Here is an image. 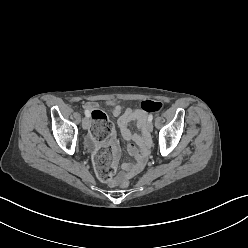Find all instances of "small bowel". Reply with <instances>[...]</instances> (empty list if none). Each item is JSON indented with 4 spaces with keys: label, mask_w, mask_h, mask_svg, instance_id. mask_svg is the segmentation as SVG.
Here are the masks:
<instances>
[{
    "label": "small bowel",
    "mask_w": 248,
    "mask_h": 248,
    "mask_svg": "<svg viewBox=\"0 0 248 248\" xmlns=\"http://www.w3.org/2000/svg\"><path fill=\"white\" fill-rule=\"evenodd\" d=\"M85 107L90 113L99 106L97 103L89 102ZM111 113L114 117L118 118L117 123L120 128L121 135L127 142H129L128 150L134 159L133 162H124L122 164V170L125 175L133 176L142 169L147 155L148 139L146 137V130L149 116H147L146 112L137 108L123 110L121 105H112ZM132 122L136 123L142 134L133 133L130 130L129 125ZM88 141L91 147H96V143L92 138H89ZM108 144L112 147L116 158L119 155V149L115 139L111 138Z\"/></svg>",
    "instance_id": "obj_1"
}]
</instances>
